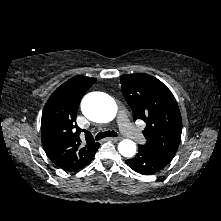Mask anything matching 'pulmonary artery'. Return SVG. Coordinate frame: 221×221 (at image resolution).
Returning <instances> with one entry per match:
<instances>
[{"mask_svg":"<svg viewBox=\"0 0 221 221\" xmlns=\"http://www.w3.org/2000/svg\"><path fill=\"white\" fill-rule=\"evenodd\" d=\"M118 125L124 135L132 138L137 142L143 141V135L129 123L128 118L124 112H120L118 115Z\"/></svg>","mask_w":221,"mask_h":221,"instance_id":"e3ab8cb5","label":"pulmonary artery"}]
</instances>
